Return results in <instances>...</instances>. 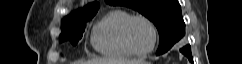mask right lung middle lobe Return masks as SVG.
<instances>
[{"label": "right lung middle lobe", "instance_id": "1", "mask_svg": "<svg viewBox=\"0 0 242 64\" xmlns=\"http://www.w3.org/2000/svg\"><path fill=\"white\" fill-rule=\"evenodd\" d=\"M97 12V11H96ZM96 12L86 15L79 21L70 24H62V33L60 35V42L70 41L74 46L82 38L85 30V22L91 20Z\"/></svg>", "mask_w": 242, "mask_h": 64}]
</instances>
